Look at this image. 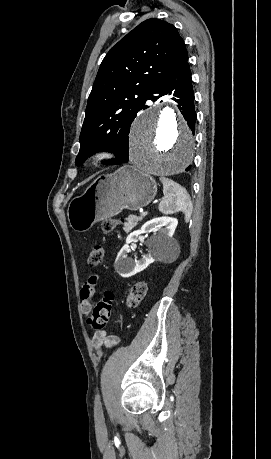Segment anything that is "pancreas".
I'll return each mask as SVG.
<instances>
[{
	"label": "pancreas",
	"instance_id": "1",
	"mask_svg": "<svg viewBox=\"0 0 271 459\" xmlns=\"http://www.w3.org/2000/svg\"><path fill=\"white\" fill-rule=\"evenodd\" d=\"M141 220H143V217L141 216H128L124 224V231L128 233V231H131L132 228H135V226H137L138 222H141Z\"/></svg>",
	"mask_w": 271,
	"mask_h": 459
}]
</instances>
